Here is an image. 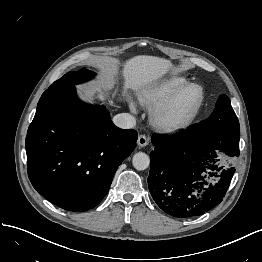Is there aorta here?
Instances as JSON below:
<instances>
[{"mask_svg": "<svg viewBox=\"0 0 262 262\" xmlns=\"http://www.w3.org/2000/svg\"><path fill=\"white\" fill-rule=\"evenodd\" d=\"M132 164L137 170H145L149 167L150 158L146 153L138 152L134 154Z\"/></svg>", "mask_w": 262, "mask_h": 262, "instance_id": "obj_1", "label": "aorta"}]
</instances>
